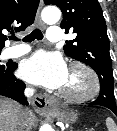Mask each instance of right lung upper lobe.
Listing matches in <instances>:
<instances>
[{
  "label": "right lung upper lobe",
  "mask_w": 117,
  "mask_h": 131,
  "mask_svg": "<svg viewBox=\"0 0 117 131\" xmlns=\"http://www.w3.org/2000/svg\"><path fill=\"white\" fill-rule=\"evenodd\" d=\"M39 0H0V52L6 35L2 31H24L33 24Z\"/></svg>",
  "instance_id": "right-lung-upper-lobe-1"
}]
</instances>
